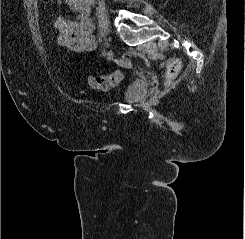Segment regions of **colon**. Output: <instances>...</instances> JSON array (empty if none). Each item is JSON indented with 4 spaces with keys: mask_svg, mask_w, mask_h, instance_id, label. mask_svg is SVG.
I'll return each instance as SVG.
<instances>
[{
    "mask_svg": "<svg viewBox=\"0 0 245 239\" xmlns=\"http://www.w3.org/2000/svg\"><path fill=\"white\" fill-rule=\"evenodd\" d=\"M43 3H50L52 0H41ZM162 66L165 68V77L167 82L172 81L180 71L181 62L179 59L171 58L164 62ZM122 80V73L119 71L112 72L101 76H87L85 81L92 89L107 91L116 86Z\"/></svg>",
    "mask_w": 245,
    "mask_h": 239,
    "instance_id": "1",
    "label": "colon"
}]
</instances>
